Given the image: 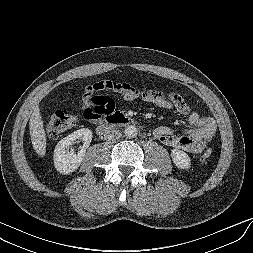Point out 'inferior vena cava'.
<instances>
[{
	"label": "inferior vena cava",
	"mask_w": 253,
	"mask_h": 253,
	"mask_svg": "<svg viewBox=\"0 0 253 253\" xmlns=\"http://www.w3.org/2000/svg\"><path fill=\"white\" fill-rule=\"evenodd\" d=\"M122 133L117 128H107L104 133V139L108 141H116L120 139Z\"/></svg>",
	"instance_id": "602c4592"
}]
</instances>
